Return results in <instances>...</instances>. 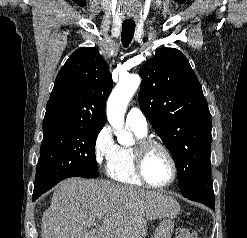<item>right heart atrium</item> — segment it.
Segmentation results:
<instances>
[{"label":"right heart atrium","mask_w":247,"mask_h":238,"mask_svg":"<svg viewBox=\"0 0 247 238\" xmlns=\"http://www.w3.org/2000/svg\"><path fill=\"white\" fill-rule=\"evenodd\" d=\"M116 143L108 125H104L96 134L93 144L94 159L101 167L107 165L116 150Z\"/></svg>","instance_id":"d8ad5b80"}]
</instances>
